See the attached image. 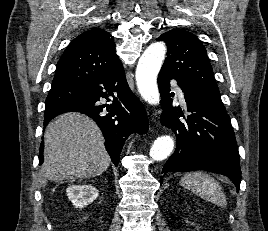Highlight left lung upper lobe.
I'll return each mask as SVG.
<instances>
[{
	"instance_id": "1",
	"label": "left lung upper lobe",
	"mask_w": 268,
	"mask_h": 231,
	"mask_svg": "<svg viewBox=\"0 0 268 231\" xmlns=\"http://www.w3.org/2000/svg\"><path fill=\"white\" fill-rule=\"evenodd\" d=\"M157 40L164 41L168 50L161 70L196 89L225 110L206 49L197 36L189 31L173 29Z\"/></svg>"
}]
</instances>
